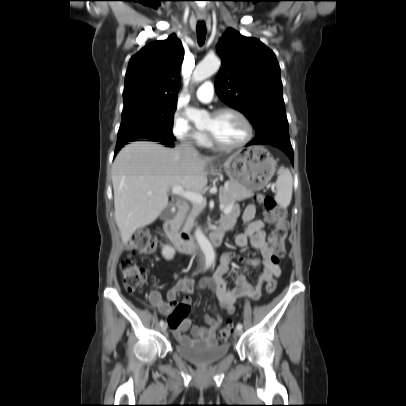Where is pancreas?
<instances>
[{
    "mask_svg": "<svg viewBox=\"0 0 406 406\" xmlns=\"http://www.w3.org/2000/svg\"><path fill=\"white\" fill-rule=\"evenodd\" d=\"M253 192L247 190L238 184L229 183L220 189L219 201L225 208L234 205L236 201H242L253 196ZM203 205L193 203L191 207L187 206L179 212L181 224L185 230H191L194 226L196 217L202 212Z\"/></svg>",
    "mask_w": 406,
    "mask_h": 406,
    "instance_id": "cf45deb5",
    "label": "pancreas"
}]
</instances>
